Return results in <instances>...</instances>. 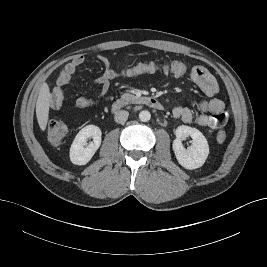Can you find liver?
I'll return each instance as SVG.
<instances>
[{
	"label": "liver",
	"mask_w": 267,
	"mask_h": 267,
	"mask_svg": "<svg viewBox=\"0 0 267 267\" xmlns=\"http://www.w3.org/2000/svg\"><path fill=\"white\" fill-rule=\"evenodd\" d=\"M50 101H51V94L49 86L47 83H43L36 102L37 121L42 131H45L48 123Z\"/></svg>",
	"instance_id": "1"
}]
</instances>
